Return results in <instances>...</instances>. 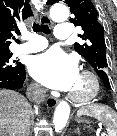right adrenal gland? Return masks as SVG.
Segmentation results:
<instances>
[{"mask_svg":"<svg viewBox=\"0 0 117 136\" xmlns=\"http://www.w3.org/2000/svg\"><path fill=\"white\" fill-rule=\"evenodd\" d=\"M30 133V129L28 128L27 132H26V136H29Z\"/></svg>","mask_w":117,"mask_h":136,"instance_id":"1","label":"right adrenal gland"}]
</instances>
